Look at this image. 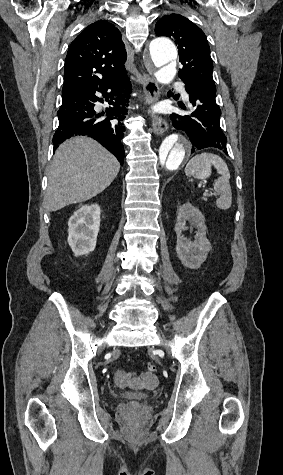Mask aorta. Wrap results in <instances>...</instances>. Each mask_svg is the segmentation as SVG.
<instances>
[{"label": "aorta", "instance_id": "762f6f07", "mask_svg": "<svg viewBox=\"0 0 283 475\" xmlns=\"http://www.w3.org/2000/svg\"><path fill=\"white\" fill-rule=\"evenodd\" d=\"M151 61L158 71L156 79L162 84H169L176 75L175 65L172 64L177 58V49L168 38H156L149 46ZM191 152L189 139L181 133H173L167 136L158 148L155 172L159 177H164L178 170L188 159Z\"/></svg>", "mask_w": 283, "mask_h": 475}]
</instances>
